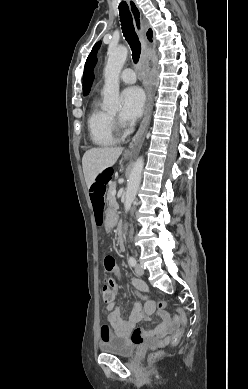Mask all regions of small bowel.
Returning <instances> with one entry per match:
<instances>
[{
    "instance_id": "c3829d8e",
    "label": "small bowel",
    "mask_w": 248,
    "mask_h": 389,
    "mask_svg": "<svg viewBox=\"0 0 248 389\" xmlns=\"http://www.w3.org/2000/svg\"><path fill=\"white\" fill-rule=\"evenodd\" d=\"M129 282L134 290L147 291V286L142 280L130 278ZM110 293L112 295V299L106 303L110 326H102L100 332L102 341L113 334L126 340H130L134 344H143L149 348L162 346L168 341L169 334H171L177 325L176 320L171 317L168 312H160L159 315L162 322L155 329L145 331L136 328V325L142 320H149L150 315L155 310V307H152L150 302H146L145 304L136 302L129 315L124 317L123 311L117 307L116 296L118 293L114 294L111 291Z\"/></svg>"
}]
</instances>
